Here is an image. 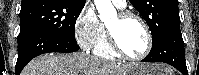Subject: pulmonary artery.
Segmentation results:
<instances>
[{
	"label": "pulmonary artery",
	"instance_id": "e3ab8cb5",
	"mask_svg": "<svg viewBox=\"0 0 199 75\" xmlns=\"http://www.w3.org/2000/svg\"><path fill=\"white\" fill-rule=\"evenodd\" d=\"M112 3L119 9H123L126 6V1L124 0H113Z\"/></svg>",
	"mask_w": 199,
	"mask_h": 75
}]
</instances>
